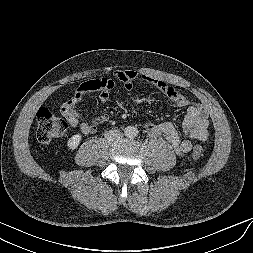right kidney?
<instances>
[{"mask_svg": "<svg viewBox=\"0 0 253 253\" xmlns=\"http://www.w3.org/2000/svg\"><path fill=\"white\" fill-rule=\"evenodd\" d=\"M82 135L76 134L73 135L67 142V146L69 150H74L78 147L80 141H81Z\"/></svg>", "mask_w": 253, "mask_h": 253, "instance_id": "right-kidney-1", "label": "right kidney"}]
</instances>
